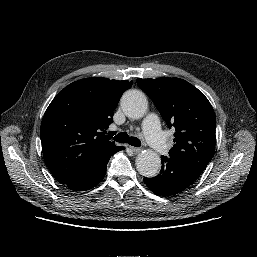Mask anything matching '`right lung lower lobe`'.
I'll return each mask as SVG.
<instances>
[{"instance_id":"98d812e1","label":"right lung lower lobe","mask_w":257,"mask_h":257,"mask_svg":"<svg viewBox=\"0 0 257 257\" xmlns=\"http://www.w3.org/2000/svg\"><path fill=\"white\" fill-rule=\"evenodd\" d=\"M124 147L119 146L114 149L111 153L104 156L100 161H98L94 166L82 172L80 175L72 179L71 181L65 183L67 187L75 191H85L96 186L106 174L107 163L110 157L123 150Z\"/></svg>"}]
</instances>
